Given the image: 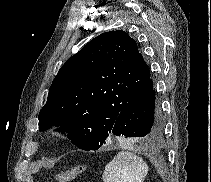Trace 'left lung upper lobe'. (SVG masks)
I'll list each match as a JSON object with an SVG mask.
<instances>
[{
    "instance_id": "obj_1",
    "label": "left lung upper lobe",
    "mask_w": 211,
    "mask_h": 182,
    "mask_svg": "<svg viewBox=\"0 0 211 182\" xmlns=\"http://www.w3.org/2000/svg\"><path fill=\"white\" fill-rule=\"evenodd\" d=\"M150 75L137 43L124 31L100 34L69 58L41 109L39 130L53 125L78 148L99 149L125 104Z\"/></svg>"
}]
</instances>
